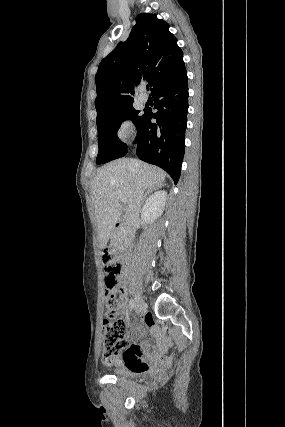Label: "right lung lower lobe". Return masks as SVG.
Wrapping results in <instances>:
<instances>
[{"mask_svg": "<svg viewBox=\"0 0 285 427\" xmlns=\"http://www.w3.org/2000/svg\"><path fill=\"white\" fill-rule=\"evenodd\" d=\"M185 70L175 80L155 89L151 94L158 110L144 113L136 154L150 164L169 173L177 182L185 148L188 113V84ZM155 118L156 123L151 119Z\"/></svg>", "mask_w": 285, "mask_h": 427, "instance_id": "98d812e1", "label": "right lung lower lobe"}]
</instances>
